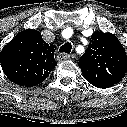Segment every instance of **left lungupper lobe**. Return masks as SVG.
<instances>
[{"label": "left lung upper lobe", "instance_id": "obj_1", "mask_svg": "<svg viewBox=\"0 0 127 127\" xmlns=\"http://www.w3.org/2000/svg\"><path fill=\"white\" fill-rule=\"evenodd\" d=\"M78 66L89 83L108 88L120 82L127 72V56L115 35L95 32Z\"/></svg>", "mask_w": 127, "mask_h": 127}]
</instances>
